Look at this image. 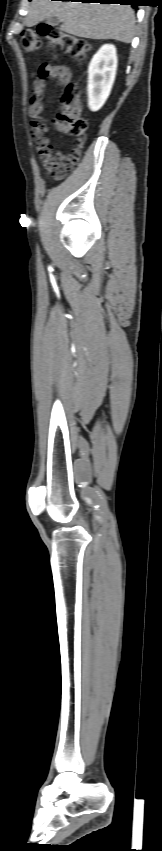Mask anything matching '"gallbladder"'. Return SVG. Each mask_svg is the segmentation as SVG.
Here are the masks:
<instances>
[{
  "label": "gallbladder",
  "mask_w": 162,
  "mask_h": 851,
  "mask_svg": "<svg viewBox=\"0 0 162 851\" xmlns=\"http://www.w3.org/2000/svg\"><path fill=\"white\" fill-rule=\"evenodd\" d=\"M45 22L49 25L56 26L60 23V20L57 17H51L49 19H46Z\"/></svg>",
  "instance_id": "bac80fb5"
}]
</instances>
